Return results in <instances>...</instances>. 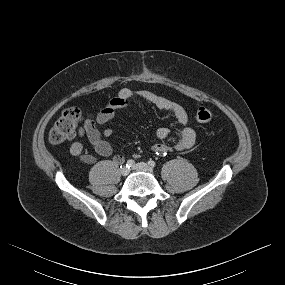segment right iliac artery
<instances>
[{
  "label": "right iliac artery",
  "instance_id": "obj_1",
  "mask_svg": "<svg viewBox=\"0 0 285 285\" xmlns=\"http://www.w3.org/2000/svg\"><path fill=\"white\" fill-rule=\"evenodd\" d=\"M135 164V161L130 159L126 162V167L131 168ZM122 167V166H121Z\"/></svg>",
  "mask_w": 285,
  "mask_h": 285
}]
</instances>
